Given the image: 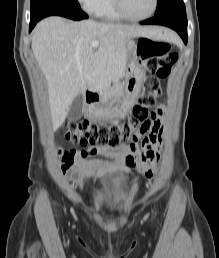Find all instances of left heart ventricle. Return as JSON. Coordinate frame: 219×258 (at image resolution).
I'll list each match as a JSON object with an SVG mask.
<instances>
[{
    "instance_id": "b2bd125f",
    "label": "left heart ventricle",
    "mask_w": 219,
    "mask_h": 258,
    "mask_svg": "<svg viewBox=\"0 0 219 258\" xmlns=\"http://www.w3.org/2000/svg\"><path fill=\"white\" fill-rule=\"evenodd\" d=\"M123 4L128 14L144 16L152 10L154 0H123Z\"/></svg>"
}]
</instances>
